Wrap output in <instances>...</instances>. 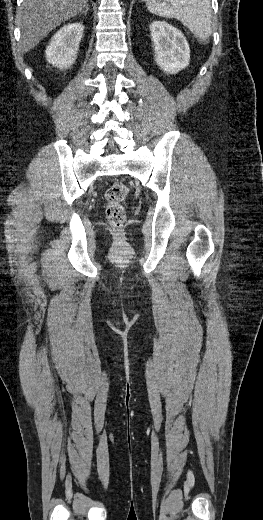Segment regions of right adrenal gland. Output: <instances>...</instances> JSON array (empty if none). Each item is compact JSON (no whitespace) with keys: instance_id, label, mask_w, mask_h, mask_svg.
Here are the masks:
<instances>
[{"instance_id":"1","label":"right adrenal gland","mask_w":263,"mask_h":520,"mask_svg":"<svg viewBox=\"0 0 263 520\" xmlns=\"http://www.w3.org/2000/svg\"><path fill=\"white\" fill-rule=\"evenodd\" d=\"M88 7H86L85 11L83 12L84 15H87Z\"/></svg>"}]
</instances>
